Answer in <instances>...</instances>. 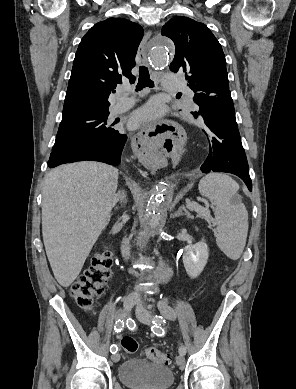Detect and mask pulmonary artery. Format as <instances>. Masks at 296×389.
I'll return each instance as SVG.
<instances>
[{"label": "pulmonary artery", "instance_id": "e3ab8cb5", "mask_svg": "<svg viewBox=\"0 0 296 389\" xmlns=\"http://www.w3.org/2000/svg\"><path fill=\"white\" fill-rule=\"evenodd\" d=\"M163 87L169 91L184 90L187 94L189 101H192V97H193L192 91L188 87H186V85L182 81L178 80L172 75L164 76ZM133 103H134V99L132 97L123 95L114 106L113 111L114 113H122L127 109H129L133 105Z\"/></svg>", "mask_w": 296, "mask_h": 389}]
</instances>
